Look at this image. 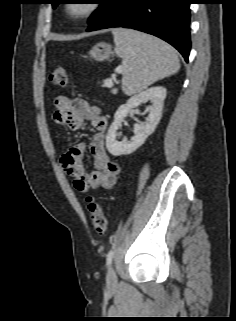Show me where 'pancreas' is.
<instances>
[{
    "label": "pancreas",
    "instance_id": "obj_1",
    "mask_svg": "<svg viewBox=\"0 0 236 321\" xmlns=\"http://www.w3.org/2000/svg\"><path fill=\"white\" fill-rule=\"evenodd\" d=\"M112 85H113V84H112ZM110 87H112V86H110ZM112 93H113V94H116V93H117V89H115V88L112 89Z\"/></svg>",
    "mask_w": 236,
    "mask_h": 321
}]
</instances>
